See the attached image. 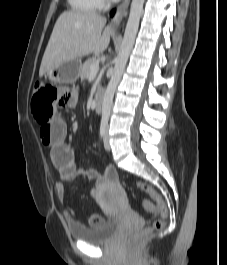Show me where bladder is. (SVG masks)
I'll return each instance as SVG.
<instances>
[{
	"label": "bladder",
	"instance_id": "1",
	"mask_svg": "<svg viewBox=\"0 0 227 265\" xmlns=\"http://www.w3.org/2000/svg\"><path fill=\"white\" fill-rule=\"evenodd\" d=\"M113 189L122 197V191L114 186ZM118 218L112 216L95 226L86 227L80 224L69 223V233L75 240L98 244L109 240L117 231Z\"/></svg>",
	"mask_w": 227,
	"mask_h": 265
}]
</instances>
